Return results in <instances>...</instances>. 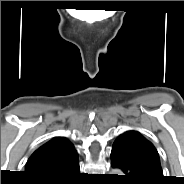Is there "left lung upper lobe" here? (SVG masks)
<instances>
[{
    "mask_svg": "<svg viewBox=\"0 0 184 184\" xmlns=\"http://www.w3.org/2000/svg\"><path fill=\"white\" fill-rule=\"evenodd\" d=\"M114 144L128 149L133 155L150 163L163 177L158 152L155 147L139 132L128 131L121 134Z\"/></svg>",
    "mask_w": 184,
    "mask_h": 184,
    "instance_id": "left-lung-upper-lobe-1",
    "label": "left lung upper lobe"
}]
</instances>
